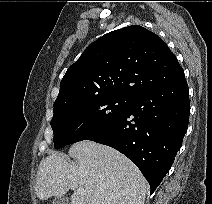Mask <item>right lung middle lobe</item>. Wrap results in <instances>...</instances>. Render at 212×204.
<instances>
[{
	"instance_id": "1",
	"label": "right lung middle lobe",
	"mask_w": 212,
	"mask_h": 204,
	"mask_svg": "<svg viewBox=\"0 0 212 204\" xmlns=\"http://www.w3.org/2000/svg\"><path fill=\"white\" fill-rule=\"evenodd\" d=\"M129 97L109 95L53 109L54 148L82 141L114 124L124 114Z\"/></svg>"
}]
</instances>
